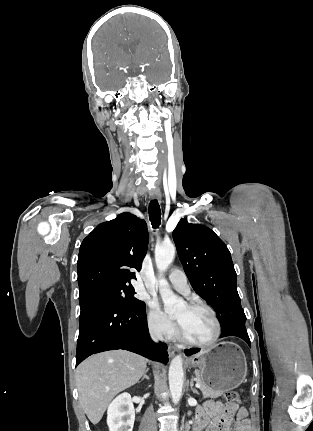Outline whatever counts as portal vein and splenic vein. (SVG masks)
Returning <instances> with one entry per match:
<instances>
[{
    "label": "portal vein and splenic vein",
    "mask_w": 313,
    "mask_h": 431,
    "mask_svg": "<svg viewBox=\"0 0 313 431\" xmlns=\"http://www.w3.org/2000/svg\"><path fill=\"white\" fill-rule=\"evenodd\" d=\"M196 387H197V388H200V387H201V384H200L199 382H197V383H196Z\"/></svg>",
    "instance_id": "obj_1"
}]
</instances>
